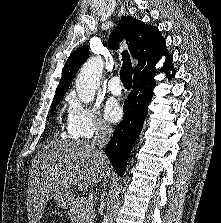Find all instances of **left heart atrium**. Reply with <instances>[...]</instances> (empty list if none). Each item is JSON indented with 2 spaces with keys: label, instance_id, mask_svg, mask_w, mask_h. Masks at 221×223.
Wrapping results in <instances>:
<instances>
[{
  "label": "left heart atrium",
  "instance_id": "39dd6f15",
  "mask_svg": "<svg viewBox=\"0 0 221 223\" xmlns=\"http://www.w3.org/2000/svg\"><path fill=\"white\" fill-rule=\"evenodd\" d=\"M105 117L111 123H117L122 119L123 110L117 101L110 99L106 102Z\"/></svg>",
  "mask_w": 221,
  "mask_h": 223
}]
</instances>
